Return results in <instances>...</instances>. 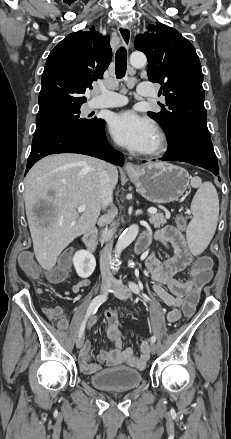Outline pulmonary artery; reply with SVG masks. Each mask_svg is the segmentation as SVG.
<instances>
[{"label": "pulmonary artery", "instance_id": "1", "mask_svg": "<svg viewBox=\"0 0 231 439\" xmlns=\"http://www.w3.org/2000/svg\"><path fill=\"white\" fill-rule=\"evenodd\" d=\"M137 91L142 96H150L154 93L152 85L147 82L139 84ZM101 92L99 97L91 101L92 108L119 107L127 103V98L122 94L107 89H102Z\"/></svg>", "mask_w": 231, "mask_h": 439}]
</instances>
